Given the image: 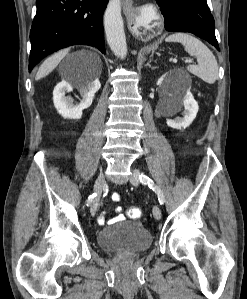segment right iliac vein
Returning a JSON list of instances; mask_svg holds the SVG:
<instances>
[{"instance_id":"63e3f726","label":"right iliac vein","mask_w":247,"mask_h":299,"mask_svg":"<svg viewBox=\"0 0 247 299\" xmlns=\"http://www.w3.org/2000/svg\"><path fill=\"white\" fill-rule=\"evenodd\" d=\"M104 186H105V175L103 173H101L98 176V178L96 179L95 184H94V192L96 193V197L93 199L91 208H90V212L92 215H94L98 209L99 198H100V195L102 193Z\"/></svg>"}]
</instances>
